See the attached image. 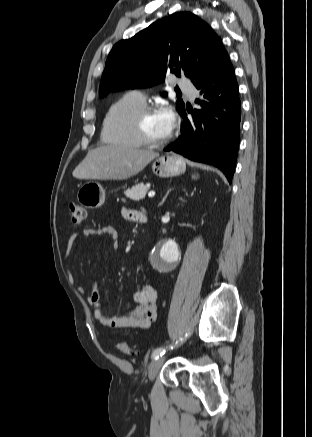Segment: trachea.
Returning <instances> with one entry per match:
<instances>
[{"label": "trachea", "instance_id": "obj_1", "mask_svg": "<svg viewBox=\"0 0 312 437\" xmlns=\"http://www.w3.org/2000/svg\"><path fill=\"white\" fill-rule=\"evenodd\" d=\"M177 92V94H181V91H176Z\"/></svg>", "mask_w": 312, "mask_h": 437}]
</instances>
